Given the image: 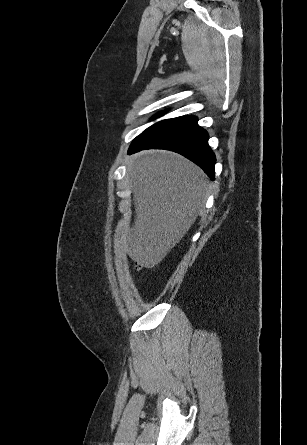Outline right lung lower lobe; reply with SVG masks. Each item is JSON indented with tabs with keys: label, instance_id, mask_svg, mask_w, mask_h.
Listing matches in <instances>:
<instances>
[{
	"label": "right lung lower lobe",
	"instance_id": "98d812e1",
	"mask_svg": "<svg viewBox=\"0 0 307 445\" xmlns=\"http://www.w3.org/2000/svg\"><path fill=\"white\" fill-rule=\"evenodd\" d=\"M208 138V133L198 126L197 118L187 115L152 125L133 140L128 154L152 148L171 150L196 163L214 179L216 159Z\"/></svg>",
	"mask_w": 307,
	"mask_h": 445
}]
</instances>
